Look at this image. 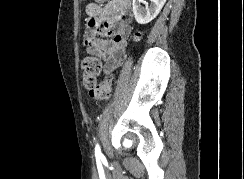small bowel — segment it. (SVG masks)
I'll return each instance as SVG.
<instances>
[{
	"instance_id": "obj_1",
	"label": "small bowel",
	"mask_w": 244,
	"mask_h": 179,
	"mask_svg": "<svg viewBox=\"0 0 244 179\" xmlns=\"http://www.w3.org/2000/svg\"><path fill=\"white\" fill-rule=\"evenodd\" d=\"M131 10L127 0L87 7L84 45L88 53L98 54L105 62L104 73H111L123 60L130 35Z\"/></svg>"
}]
</instances>
